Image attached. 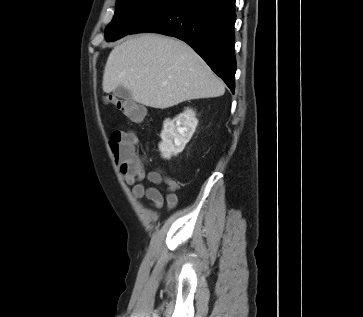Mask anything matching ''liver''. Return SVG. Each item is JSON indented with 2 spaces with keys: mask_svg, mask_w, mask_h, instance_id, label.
<instances>
[{
  "mask_svg": "<svg viewBox=\"0 0 363 317\" xmlns=\"http://www.w3.org/2000/svg\"><path fill=\"white\" fill-rule=\"evenodd\" d=\"M118 86L136 102L159 109L225 92L224 83L189 45L154 33L129 37L110 52L103 91Z\"/></svg>",
  "mask_w": 363,
  "mask_h": 317,
  "instance_id": "obj_1",
  "label": "liver"
}]
</instances>
